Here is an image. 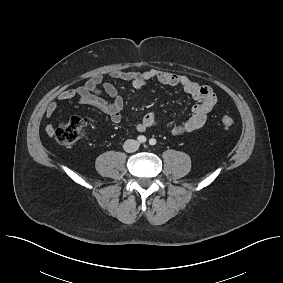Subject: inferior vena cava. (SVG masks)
Masks as SVG:
<instances>
[{
  "mask_svg": "<svg viewBox=\"0 0 283 283\" xmlns=\"http://www.w3.org/2000/svg\"><path fill=\"white\" fill-rule=\"evenodd\" d=\"M139 142L133 139L126 140L124 142L123 148L128 153H133L138 150Z\"/></svg>",
  "mask_w": 283,
  "mask_h": 283,
  "instance_id": "inferior-vena-cava-1",
  "label": "inferior vena cava"
}]
</instances>
